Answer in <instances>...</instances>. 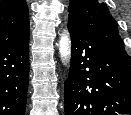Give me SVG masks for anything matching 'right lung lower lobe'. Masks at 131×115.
Masks as SVG:
<instances>
[{
  "mask_svg": "<svg viewBox=\"0 0 131 115\" xmlns=\"http://www.w3.org/2000/svg\"><path fill=\"white\" fill-rule=\"evenodd\" d=\"M29 82V36L0 49V115H24Z\"/></svg>",
  "mask_w": 131,
  "mask_h": 115,
  "instance_id": "right-lung-lower-lobe-1",
  "label": "right lung lower lobe"
}]
</instances>
